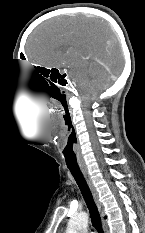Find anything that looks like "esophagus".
Returning a JSON list of instances; mask_svg holds the SVG:
<instances>
[{
	"instance_id": "34e87169",
	"label": "esophagus",
	"mask_w": 145,
	"mask_h": 233,
	"mask_svg": "<svg viewBox=\"0 0 145 233\" xmlns=\"http://www.w3.org/2000/svg\"><path fill=\"white\" fill-rule=\"evenodd\" d=\"M81 171H82V173H83V175H84V178H85V180H86V182H87V184H88V187H89V189H90V191H91V193H92V195H93V198H94L96 204H97L98 206H100V203H99V200H98V193H97V190H96V188H95V186H94V184H93V181H92V179H91V177H90V175H89L88 170L82 168Z\"/></svg>"
}]
</instances>
